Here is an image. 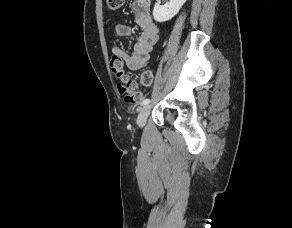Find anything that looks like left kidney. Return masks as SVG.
<instances>
[{"instance_id": "5707ae66", "label": "left kidney", "mask_w": 292, "mask_h": 228, "mask_svg": "<svg viewBox=\"0 0 292 228\" xmlns=\"http://www.w3.org/2000/svg\"><path fill=\"white\" fill-rule=\"evenodd\" d=\"M186 0H170V2L160 5L155 3L153 9V17L157 22L168 21L173 18L180 10Z\"/></svg>"}]
</instances>
